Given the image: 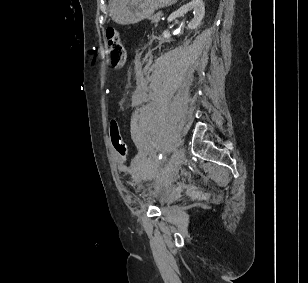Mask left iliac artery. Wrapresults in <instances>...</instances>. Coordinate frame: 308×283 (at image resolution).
<instances>
[{"label": "left iliac artery", "instance_id": "44dca946", "mask_svg": "<svg viewBox=\"0 0 308 283\" xmlns=\"http://www.w3.org/2000/svg\"><path fill=\"white\" fill-rule=\"evenodd\" d=\"M162 159V153H160V155H159V160H161Z\"/></svg>", "mask_w": 308, "mask_h": 283}]
</instances>
